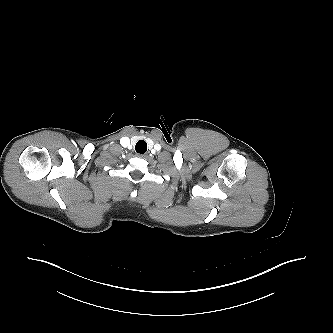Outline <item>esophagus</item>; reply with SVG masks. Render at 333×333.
<instances>
[{"mask_svg": "<svg viewBox=\"0 0 333 333\" xmlns=\"http://www.w3.org/2000/svg\"><path fill=\"white\" fill-rule=\"evenodd\" d=\"M136 156L139 157V158H145L146 157L145 154H137Z\"/></svg>", "mask_w": 333, "mask_h": 333, "instance_id": "obj_1", "label": "esophagus"}]
</instances>
